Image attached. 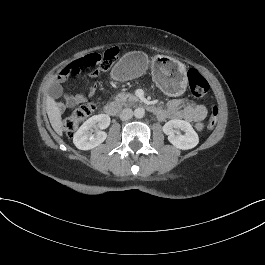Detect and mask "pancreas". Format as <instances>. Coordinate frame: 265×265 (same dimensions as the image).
Masks as SVG:
<instances>
[{"mask_svg":"<svg viewBox=\"0 0 265 265\" xmlns=\"http://www.w3.org/2000/svg\"><path fill=\"white\" fill-rule=\"evenodd\" d=\"M115 100L118 102H121L122 104H126V101L132 102V101H138V97L134 96L133 94L130 93H119L116 97Z\"/></svg>","mask_w":265,"mask_h":265,"instance_id":"cf45deb5","label":"pancreas"}]
</instances>
